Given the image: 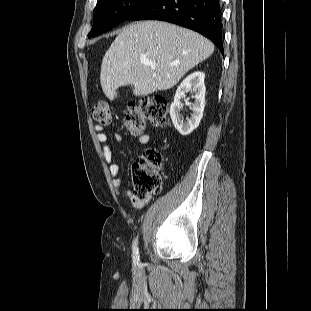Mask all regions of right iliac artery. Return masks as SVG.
Returning <instances> with one entry per match:
<instances>
[{
  "label": "right iliac artery",
  "mask_w": 311,
  "mask_h": 311,
  "mask_svg": "<svg viewBox=\"0 0 311 311\" xmlns=\"http://www.w3.org/2000/svg\"><path fill=\"white\" fill-rule=\"evenodd\" d=\"M138 238L135 239L134 243H133V262L134 264H138L139 263V250H138Z\"/></svg>",
  "instance_id": "obj_1"
}]
</instances>
